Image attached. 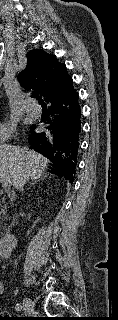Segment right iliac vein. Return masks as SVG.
I'll return each mask as SVG.
<instances>
[{
	"mask_svg": "<svg viewBox=\"0 0 118 320\" xmlns=\"http://www.w3.org/2000/svg\"><path fill=\"white\" fill-rule=\"evenodd\" d=\"M24 309L28 314L34 311V302L29 297L24 298Z\"/></svg>",
	"mask_w": 118,
	"mask_h": 320,
	"instance_id": "1",
	"label": "right iliac vein"
}]
</instances>
